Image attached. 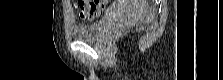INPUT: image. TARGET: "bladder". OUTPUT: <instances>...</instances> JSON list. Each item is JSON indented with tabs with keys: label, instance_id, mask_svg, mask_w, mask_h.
<instances>
[{
	"label": "bladder",
	"instance_id": "31cf9c89",
	"mask_svg": "<svg viewBox=\"0 0 223 80\" xmlns=\"http://www.w3.org/2000/svg\"><path fill=\"white\" fill-rule=\"evenodd\" d=\"M111 15L106 14L100 21L91 24H79L73 27L72 36L79 41H97L103 34Z\"/></svg>",
	"mask_w": 223,
	"mask_h": 80
}]
</instances>
